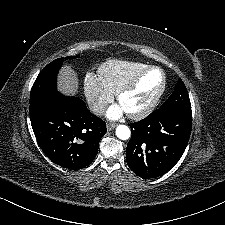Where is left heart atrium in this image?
I'll return each mask as SVG.
<instances>
[{"label":"left heart atrium","instance_id":"39dd6f15","mask_svg":"<svg viewBox=\"0 0 225 225\" xmlns=\"http://www.w3.org/2000/svg\"><path fill=\"white\" fill-rule=\"evenodd\" d=\"M125 111L120 105H113L107 110V116L110 119L120 118Z\"/></svg>","mask_w":225,"mask_h":225}]
</instances>
